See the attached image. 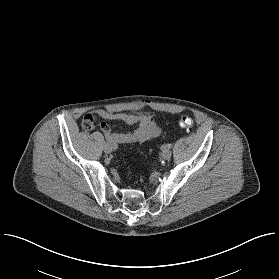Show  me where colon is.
<instances>
[{
	"label": "colon",
	"mask_w": 279,
	"mask_h": 279,
	"mask_svg": "<svg viewBox=\"0 0 279 279\" xmlns=\"http://www.w3.org/2000/svg\"><path fill=\"white\" fill-rule=\"evenodd\" d=\"M177 124L181 127V128H185V129H189L192 127L193 125V120L191 119L190 116L188 115H181L178 119H177ZM83 127L85 130H91V126L89 124L84 123Z\"/></svg>",
	"instance_id": "5ec220e1"
}]
</instances>
